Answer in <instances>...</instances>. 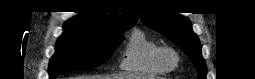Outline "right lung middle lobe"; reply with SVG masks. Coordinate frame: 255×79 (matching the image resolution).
Wrapping results in <instances>:
<instances>
[{
    "label": "right lung middle lobe",
    "instance_id": "dd1d6c3e",
    "mask_svg": "<svg viewBox=\"0 0 255 79\" xmlns=\"http://www.w3.org/2000/svg\"><path fill=\"white\" fill-rule=\"evenodd\" d=\"M129 27L111 36L65 30L58 39L56 53L50 60V78L68 70H86L100 66L109 60L123 38L122 33Z\"/></svg>",
    "mask_w": 255,
    "mask_h": 79
}]
</instances>
